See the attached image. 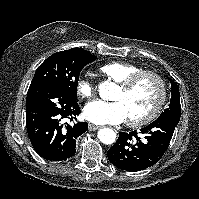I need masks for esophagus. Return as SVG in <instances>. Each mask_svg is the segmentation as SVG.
I'll return each instance as SVG.
<instances>
[{
  "label": "esophagus",
  "instance_id": "34e87169",
  "mask_svg": "<svg viewBox=\"0 0 199 199\" xmlns=\"http://www.w3.org/2000/svg\"><path fill=\"white\" fill-rule=\"evenodd\" d=\"M99 129V126L93 125V124H89V130L90 131H96Z\"/></svg>",
  "mask_w": 199,
  "mask_h": 199
}]
</instances>
